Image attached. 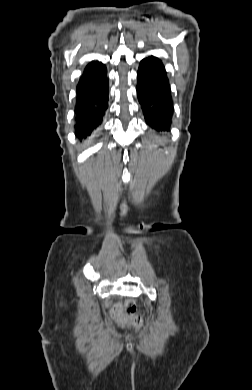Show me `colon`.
Wrapping results in <instances>:
<instances>
[{"mask_svg": "<svg viewBox=\"0 0 252 390\" xmlns=\"http://www.w3.org/2000/svg\"><path fill=\"white\" fill-rule=\"evenodd\" d=\"M125 315L134 327L141 328L143 326V317L138 313L136 303L131 299L125 303Z\"/></svg>", "mask_w": 252, "mask_h": 390, "instance_id": "5ec220e1", "label": "colon"}]
</instances>
